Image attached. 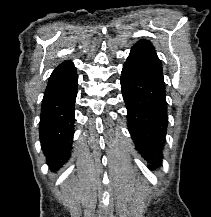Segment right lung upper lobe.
<instances>
[{"label":"right lung upper lobe","instance_id":"1","mask_svg":"<svg viewBox=\"0 0 211 217\" xmlns=\"http://www.w3.org/2000/svg\"><path fill=\"white\" fill-rule=\"evenodd\" d=\"M76 69L71 61L61 63L51 74L47 87L62 84L70 80Z\"/></svg>","mask_w":211,"mask_h":217}]
</instances>
